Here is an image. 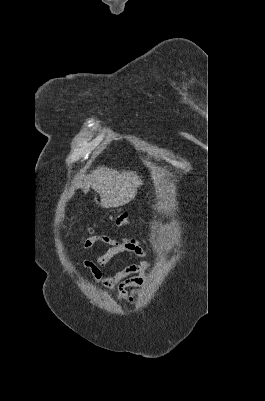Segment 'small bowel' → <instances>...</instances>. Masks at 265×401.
Here are the masks:
<instances>
[{
    "mask_svg": "<svg viewBox=\"0 0 265 401\" xmlns=\"http://www.w3.org/2000/svg\"><path fill=\"white\" fill-rule=\"evenodd\" d=\"M96 243H104L110 247L96 262L83 260L82 265L93 275L94 284H102L107 286L109 291H116L118 301L125 300L130 304H134L139 296L138 287L146 283L149 264L146 261L130 264L111 276H105L103 270L106 265L119 254L131 252L138 256L145 257L147 255L146 251L136 239L125 238L121 241H116L105 235L94 236L87 239L84 248H90ZM128 288L133 289L129 292Z\"/></svg>",
    "mask_w": 265,
    "mask_h": 401,
    "instance_id": "1",
    "label": "small bowel"
}]
</instances>
